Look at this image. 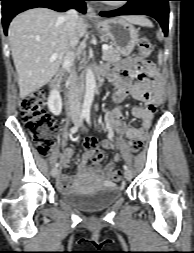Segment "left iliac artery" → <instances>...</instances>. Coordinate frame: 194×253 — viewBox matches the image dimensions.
Returning a JSON list of instances; mask_svg holds the SVG:
<instances>
[{
    "mask_svg": "<svg viewBox=\"0 0 194 253\" xmlns=\"http://www.w3.org/2000/svg\"><path fill=\"white\" fill-rule=\"evenodd\" d=\"M86 121H87L88 124H91V121H90V113H87ZM123 168H124L125 170H128V166H127V165H124Z\"/></svg>",
    "mask_w": 194,
    "mask_h": 253,
    "instance_id": "left-iliac-artery-1",
    "label": "left iliac artery"
}]
</instances>
